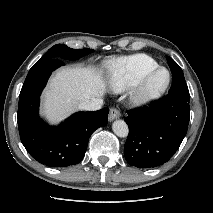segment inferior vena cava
<instances>
[{"mask_svg":"<svg viewBox=\"0 0 213 213\" xmlns=\"http://www.w3.org/2000/svg\"><path fill=\"white\" fill-rule=\"evenodd\" d=\"M103 105V99L101 98H94L92 100L85 101L80 104V109L86 110V111H96L101 109Z\"/></svg>","mask_w":213,"mask_h":213,"instance_id":"obj_1","label":"inferior vena cava"}]
</instances>
